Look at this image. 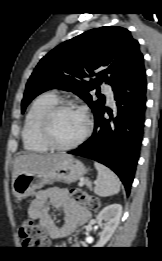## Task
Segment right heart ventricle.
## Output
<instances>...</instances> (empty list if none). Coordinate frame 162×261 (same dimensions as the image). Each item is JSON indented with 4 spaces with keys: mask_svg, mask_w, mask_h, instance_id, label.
<instances>
[{
    "mask_svg": "<svg viewBox=\"0 0 162 261\" xmlns=\"http://www.w3.org/2000/svg\"><path fill=\"white\" fill-rule=\"evenodd\" d=\"M57 102V96L50 92L40 94L32 102L22 130V140L26 150L35 153H44L49 150L41 138L39 126L43 114Z\"/></svg>",
    "mask_w": 162,
    "mask_h": 261,
    "instance_id": "1",
    "label": "right heart ventricle"
}]
</instances>
